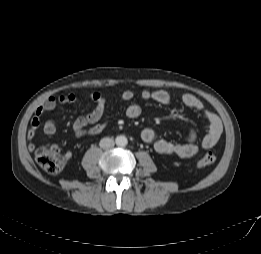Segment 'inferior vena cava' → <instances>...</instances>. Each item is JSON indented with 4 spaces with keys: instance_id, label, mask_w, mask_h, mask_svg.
Here are the masks:
<instances>
[{
    "instance_id": "1",
    "label": "inferior vena cava",
    "mask_w": 261,
    "mask_h": 254,
    "mask_svg": "<svg viewBox=\"0 0 261 254\" xmlns=\"http://www.w3.org/2000/svg\"><path fill=\"white\" fill-rule=\"evenodd\" d=\"M114 140L112 138H108V137H105V138H102L100 140V147L103 148V149H109V148H112L114 146Z\"/></svg>"
}]
</instances>
